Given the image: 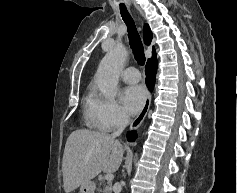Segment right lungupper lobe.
I'll return each mask as SVG.
<instances>
[{
  "label": "right lung upper lobe",
  "instance_id": "1",
  "mask_svg": "<svg viewBox=\"0 0 237 193\" xmlns=\"http://www.w3.org/2000/svg\"><path fill=\"white\" fill-rule=\"evenodd\" d=\"M152 40V32L149 28V26L146 24L144 26V41L147 45H149L151 43ZM156 57L155 55V50L153 49V58Z\"/></svg>",
  "mask_w": 237,
  "mask_h": 193
}]
</instances>
